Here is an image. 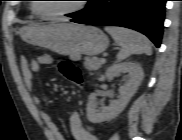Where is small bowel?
I'll return each instance as SVG.
<instances>
[{"label": "small bowel", "mask_w": 182, "mask_h": 140, "mask_svg": "<svg viewBox=\"0 0 182 140\" xmlns=\"http://www.w3.org/2000/svg\"><path fill=\"white\" fill-rule=\"evenodd\" d=\"M54 62L52 56L43 54L36 59L27 61L26 59L20 60V73L25 87L29 90L33 88V73L38 72L42 65H50ZM33 102L36 105L41 103L38 96H33ZM42 120L50 134L51 140H65L59 131L53 118L46 112L41 113ZM70 131L75 140H98V137L91 127H86L78 112H73L69 118Z\"/></svg>", "instance_id": "obj_1"}]
</instances>
